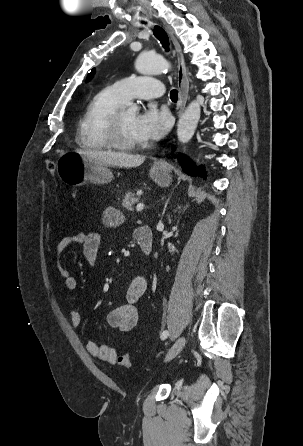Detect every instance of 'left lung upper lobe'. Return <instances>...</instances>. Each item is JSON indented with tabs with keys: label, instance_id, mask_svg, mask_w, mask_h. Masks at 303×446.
Wrapping results in <instances>:
<instances>
[{
	"label": "left lung upper lobe",
	"instance_id": "5c2ea615",
	"mask_svg": "<svg viewBox=\"0 0 303 446\" xmlns=\"http://www.w3.org/2000/svg\"><path fill=\"white\" fill-rule=\"evenodd\" d=\"M95 73V69H93L89 74H88V77H87V80H90L92 77H93V74Z\"/></svg>",
	"mask_w": 303,
	"mask_h": 446
}]
</instances>
